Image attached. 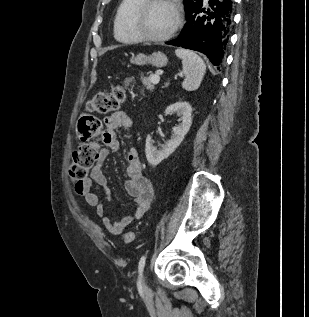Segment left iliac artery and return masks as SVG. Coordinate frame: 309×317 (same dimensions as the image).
<instances>
[{
    "label": "left iliac artery",
    "instance_id": "obj_1",
    "mask_svg": "<svg viewBox=\"0 0 309 317\" xmlns=\"http://www.w3.org/2000/svg\"><path fill=\"white\" fill-rule=\"evenodd\" d=\"M145 262H146V255H143L140 258L139 265H138V272H139L138 286H140V284H141V276H142V272H143L144 267H145Z\"/></svg>",
    "mask_w": 309,
    "mask_h": 317
}]
</instances>
